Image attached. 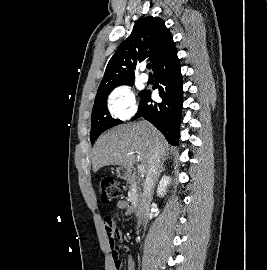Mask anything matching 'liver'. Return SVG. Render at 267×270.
<instances>
[{
	"instance_id": "1",
	"label": "liver",
	"mask_w": 267,
	"mask_h": 270,
	"mask_svg": "<svg viewBox=\"0 0 267 270\" xmlns=\"http://www.w3.org/2000/svg\"><path fill=\"white\" fill-rule=\"evenodd\" d=\"M169 147L162 133L148 123L122 124L100 136L95 143L93 171L108 165L131 168L137 159L147 171L153 150L158 148L160 159L165 160Z\"/></svg>"
}]
</instances>
